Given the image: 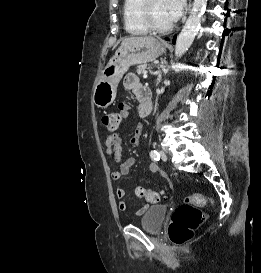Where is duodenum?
<instances>
[{
  "mask_svg": "<svg viewBox=\"0 0 261 273\" xmlns=\"http://www.w3.org/2000/svg\"><path fill=\"white\" fill-rule=\"evenodd\" d=\"M151 94L148 90H145L141 99H140V107L139 113L141 117L147 116L151 111Z\"/></svg>",
  "mask_w": 261,
  "mask_h": 273,
  "instance_id": "1",
  "label": "duodenum"
}]
</instances>
